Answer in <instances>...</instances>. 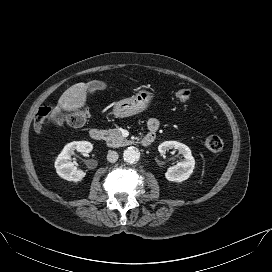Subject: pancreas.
Segmentation results:
<instances>
[{"instance_id": "cf45deb5", "label": "pancreas", "mask_w": 272, "mask_h": 272, "mask_svg": "<svg viewBox=\"0 0 272 272\" xmlns=\"http://www.w3.org/2000/svg\"><path fill=\"white\" fill-rule=\"evenodd\" d=\"M106 143L109 147L117 148L125 146L129 143V141L124 138L119 129H109L105 131Z\"/></svg>"}]
</instances>
